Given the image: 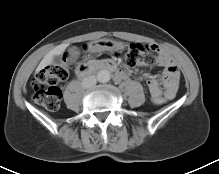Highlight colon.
Returning a JSON list of instances; mask_svg holds the SVG:
<instances>
[{"mask_svg":"<svg viewBox=\"0 0 219 174\" xmlns=\"http://www.w3.org/2000/svg\"><path fill=\"white\" fill-rule=\"evenodd\" d=\"M124 61L128 66H146L154 61L153 55L147 47L141 44H131L124 53ZM70 61L64 56L60 62L52 63L40 70L31 82L33 101L50 111L60 106L62 93L58 83L67 79ZM156 105H163L166 99L160 95H152Z\"/></svg>","mask_w":219,"mask_h":174,"instance_id":"obj_1","label":"colon"}]
</instances>
